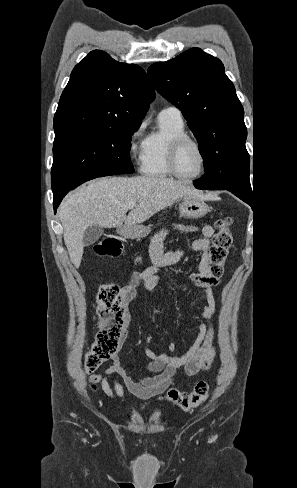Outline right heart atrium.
Listing matches in <instances>:
<instances>
[{
	"mask_svg": "<svg viewBox=\"0 0 297 488\" xmlns=\"http://www.w3.org/2000/svg\"><path fill=\"white\" fill-rule=\"evenodd\" d=\"M144 129L145 123L141 122L139 125H137V127H135L129 137L128 151L137 160L141 159L144 151Z\"/></svg>",
	"mask_w": 297,
	"mask_h": 488,
	"instance_id": "1",
	"label": "right heart atrium"
}]
</instances>
